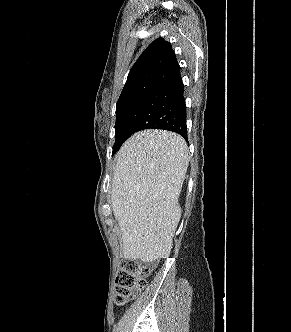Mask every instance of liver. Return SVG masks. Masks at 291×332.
I'll list each match as a JSON object with an SVG mask.
<instances>
[{"label":"liver","instance_id":"liver-1","mask_svg":"<svg viewBox=\"0 0 291 332\" xmlns=\"http://www.w3.org/2000/svg\"><path fill=\"white\" fill-rule=\"evenodd\" d=\"M188 163L185 140L169 131L138 132L120 148L111 206L121 229L124 258L153 262L170 255Z\"/></svg>","mask_w":291,"mask_h":332}]
</instances>
